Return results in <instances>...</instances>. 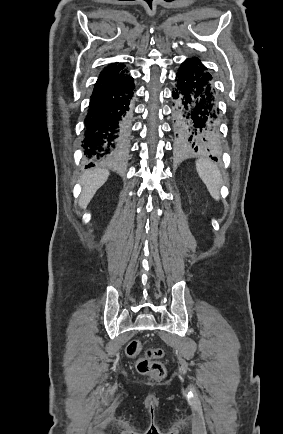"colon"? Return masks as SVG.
Masks as SVG:
<instances>
[{"mask_svg":"<svg viewBox=\"0 0 283 434\" xmlns=\"http://www.w3.org/2000/svg\"><path fill=\"white\" fill-rule=\"evenodd\" d=\"M142 345L139 340H131L126 346V354L131 358H137L136 369L140 374L148 375L154 379H161L166 374L165 366L157 361L163 357L164 352L160 348H152L141 356Z\"/></svg>","mask_w":283,"mask_h":434,"instance_id":"colon-1","label":"colon"}]
</instances>
